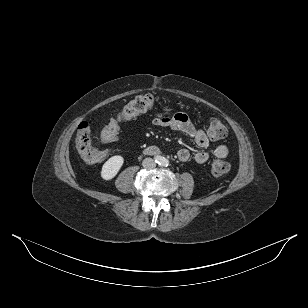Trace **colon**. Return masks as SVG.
Here are the masks:
<instances>
[{"instance_id":"5ec220e1","label":"colon","mask_w":308,"mask_h":308,"mask_svg":"<svg viewBox=\"0 0 308 308\" xmlns=\"http://www.w3.org/2000/svg\"><path fill=\"white\" fill-rule=\"evenodd\" d=\"M154 105L155 98L150 94L135 97L124 107L122 114L117 119L112 118L104 125L100 131L101 139L106 143L115 142L121 135L119 127L123 121L151 110ZM206 132L208 137L214 141L224 139L228 134L226 126L220 120L214 118L209 120ZM75 145L80 157L87 164H95L100 160L105 161L114 155L111 149L102 152L94 145L90 125L87 121L79 124ZM229 170V163L221 158L214 159L210 166V171L214 176H222Z\"/></svg>"}]
</instances>
